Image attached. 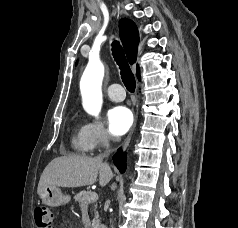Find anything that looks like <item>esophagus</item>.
<instances>
[{
    "label": "esophagus",
    "instance_id": "esophagus-1",
    "mask_svg": "<svg viewBox=\"0 0 238 228\" xmlns=\"http://www.w3.org/2000/svg\"><path fill=\"white\" fill-rule=\"evenodd\" d=\"M136 127V123L134 124L133 128L131 129L130 134L128 135L127 139L125 140L124 144H123V149H126L130 143V140L132 138L133 132L135 130Z\"/></svg>",
    "mask_w": 238,
    "mask_h": 228
}]
</instances>
